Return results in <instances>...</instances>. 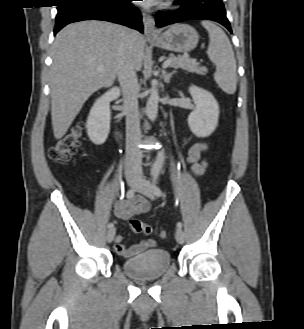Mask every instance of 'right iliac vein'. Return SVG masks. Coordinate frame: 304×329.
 <instances>
[{
  "label": "right iliac vein",
  "instance_id": "63e3f726",
  "mask_svg": "<svg viewBox=\"0 0 304 329\" xmlns=\"http://www.w3.org/2000/svg\"><path fill=\"white\" fill-rule=\"evenodd\" d=\"M127 182L130 187H135L137 185L138 180L135 177H128ZM114 236H115V228L109 229L107 232V241L109 243L112 242Z\"/></svg>",
  "mask_w": 304,
  "mask_h": 329
}]
</instances>
